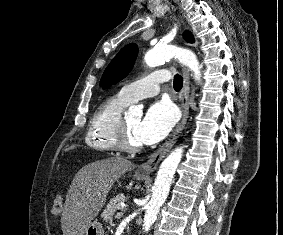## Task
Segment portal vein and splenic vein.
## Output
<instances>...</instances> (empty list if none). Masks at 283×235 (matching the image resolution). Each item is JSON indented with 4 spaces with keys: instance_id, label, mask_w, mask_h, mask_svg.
<instances>
[{
    "instance_id": "portal-vein-and-splenic-vein-1",
    "label": "portal vein and splenic vein",
    "mask_w": 283,
    "mask_h": 235,
    "mask_svg": "<svg viewBox=\"0 0 283 235\" xmlns=\"http://www.w3.org/2000/svg\"><path fill=\"white\" fill-rule=\"evenodd\" d=\"M123 216V212H118L117 215H116V218H120Z\"/></svg>"
}]
</instances>
